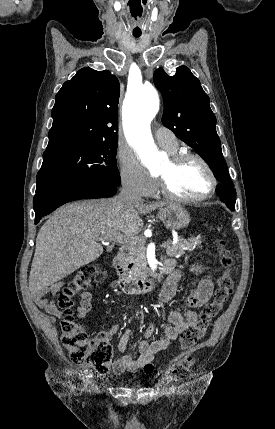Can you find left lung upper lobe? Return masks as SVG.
Here are the masks:
<instances>
[{
  "label": "left lung upper lobe",
  "mask_w": 275,
  "mask_h": 429,
  "mask_svg": "<svg viewBox=\"0 0 275 429\" xmlns=\"http://www.w3.org/2000/svg\"><path fill=\"white\" fill-rule=\"evenodd\" d=\"M153 78L164 99V126L195 149L209 164L219 185L225 190V197L221 201L235 210L236 190L223 158L215 127L216 117L200 81L186 66L178 67L174 76L158 68Z\"/></svg>",
  "instance_id": "left-lung-upper-lobe-1"
}]
</instances>
